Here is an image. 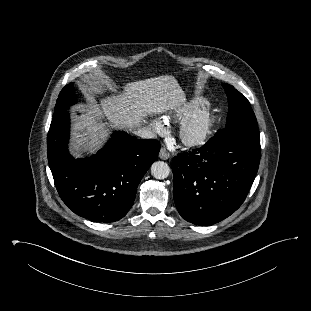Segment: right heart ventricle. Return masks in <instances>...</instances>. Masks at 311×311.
Here are the masks:
<instances>
[{"instance_id":"e07e8e85","label":"right heart ventricle","mask_w":311,"mask_h":311,"mask_svg":"<svg viewBox=\"0 0 311 311\" xmlns=\"http://www.w3.org/2000/svg\"><path fill=\"white\" fill-rule=\"evenodd\" d=\"M208 105L207 99L200 96H195L187 99L183 103L179 104L170 115L165 116L167 122L181 121L190 115L200 111L202 108Z\"/></svg>"}]
</instances>
